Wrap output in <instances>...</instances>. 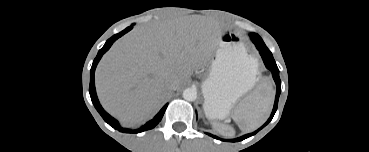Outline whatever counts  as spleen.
Instances as JSON below:
<instances>
[{"label":"spleen","mask_w":369,"mask_h":152,"mask_svg":"<svg viewBox=\"0 0 369 152\" xmlns=\"http://www.w3.org/2000/svg\"><path fill=\"white\" fill-rule=\"evenodd\" d=\"M274 102V91L271 86L262 85L236 107L233 120L241 130L251 132L268 118Z\"/></svg>","instance_id":"spleen-1"}]
</instances>
